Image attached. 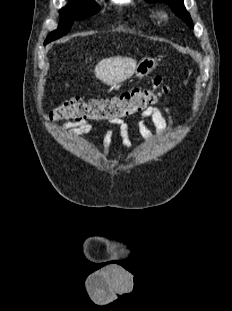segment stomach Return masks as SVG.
<instances>
[{"label":"stomach","mask_w":232,"mask_h":311,"mask_svg":"<svg viewBox=\"0 0 232 311\" xmlns=\"http://www.w3.org/2000/svg\"><path fill=\"white\" fill-rule=\"evenodd\" d=\"M157 65L156 59L152 57H145L136 66L135 77L141 79L147 76Z\"/></svg>","instance_id":"1"}]
</instances>
